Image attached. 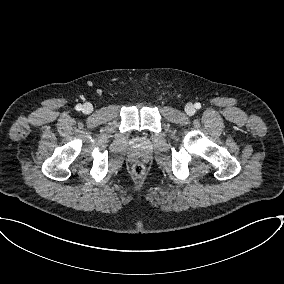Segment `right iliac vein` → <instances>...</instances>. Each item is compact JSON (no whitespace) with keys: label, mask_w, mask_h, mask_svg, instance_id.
Returning a JSON list of instances; mask_svg holds the SVG:
<instances>
[{"label":"right iliac vein","mask_w":284,"mask_h":284,"mask_svg":"<svg viewBox=\"0 0 284 284\" xmlns=\"http://www.w3.org/2000/svg\"><path fill=\"white\" fill-rule=\"evenodd\" d=\"M82 110H83L84 113L89 114L93 111V106L90 103H86V104H84Z\"/></svg>","instance_id":"obj_1"}]
</instances>
